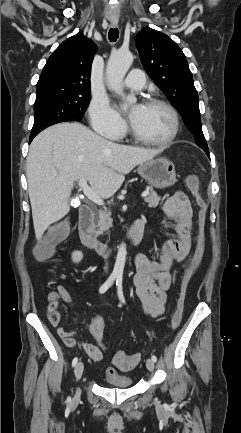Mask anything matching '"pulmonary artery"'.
<instances>
[{
	"instance_id": "pulmonary-artery-1",
	"label": "pulmonary artery",
	"mask_w": 241,
	"mask_h": 433,
	"mask_svg": "<svg viewBox=\"0 0 241 433\" xmlns=\"http://www.w3.org/2000/svg\"><path fill=\"white\" fill-rule=\"evenodd\" d=\"M124 84L127 88L131 90H142L146 84L145 75L141 70L133 69L130 71Z\"/></svg>"
}]
</instances>
